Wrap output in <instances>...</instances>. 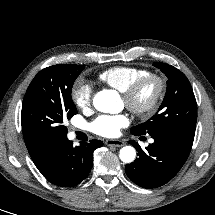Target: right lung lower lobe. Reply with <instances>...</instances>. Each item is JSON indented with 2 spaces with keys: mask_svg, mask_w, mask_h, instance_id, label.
I'll use <instances>...</instances> for the list:
<instances>
[{
  "mask_svg": "<svg viewBox=\"0 0 215 215\" xmlns=\"http://www.w3.org/2000/svg\"><path fill=\"white\" fill-rule=\"evenodd\" d=\"M102 145V141L91 140L74 147L72 141L65 139L56 145L45 164L38 169L48 181L57 186H75L89 174L93 153Z\"/></svg>",
  "mask_w": 215,
  "mask_h": 215,
  "instance_id": "98d812e1",
  "label": "right lung lower lobe"
}]
</instances>
